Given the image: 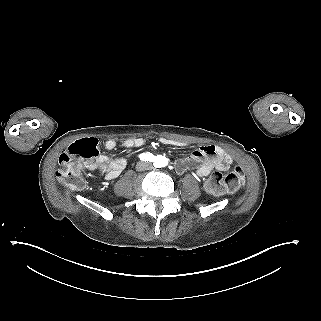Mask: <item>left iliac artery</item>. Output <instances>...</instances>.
Masks as SVG:
<instances>
[{
	"instance_id": "left-iliac-artery-1",
	"label": "left iliac artery",
	"mask_w": 321,
	"mask_h": 321,
	"mask_svg": "<svg viewBox=\"0 0 321 321\" xmlns=\"http://www.w3.org/2000/svg\"><path fill=\"white\" fill-rule=\"evenodd\" d=\"M163 165H164V159L161 157H158L154 163V166L162 167Z\"/></svg>"
}]
</instances>
